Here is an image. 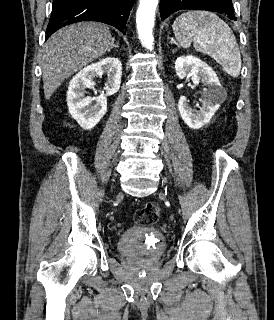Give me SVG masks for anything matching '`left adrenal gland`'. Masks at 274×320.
Masks as SVG:
<instances>
[{
    "mask_svg": "<svg viewBox=\"0 0 274 320\" xmlns=\"http://www.w3.org/2000/svg\"><path fill=\"white\" fill-rule=\"evenodd\" d=\"M170 44H176L177 48H181L180 44H177V42H175V40H173V38H171Z\"/></svg>",
    "mask_w": 274,
    "mask_h": 320,
    "instance_id": "1",
    "label": "left adrenal gland"
}]
</instances>
